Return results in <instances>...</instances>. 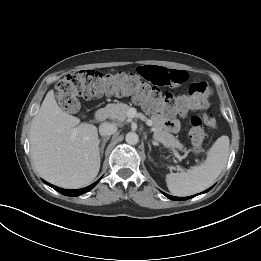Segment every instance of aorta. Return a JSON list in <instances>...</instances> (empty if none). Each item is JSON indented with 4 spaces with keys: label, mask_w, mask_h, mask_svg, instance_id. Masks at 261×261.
<instances>
[{
    "label": "aorta",
    "mask_w": 261,
    "mask_h": 261,
    "mask_svg": "<svg viewBox=\"0 0 261 261\" xmlns=\"http://www.w3.org/2000/svg\"><path fill=\"white\" fill-rule=\"evenodd\" d=\"M125 140L130 145H136L139 142V137L135 132H128Z\"/></svg>",
    "instance_id": "1"
}]
</instances>
